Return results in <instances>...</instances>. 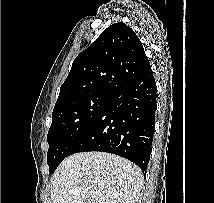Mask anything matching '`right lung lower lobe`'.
I'll list each match as a JSON object with an SVG mask.
<instances>
[{"mask_svg":"<svg viewBox=\"0 0 214 203\" xmlns=\"http://www.w3.org/2000/svg\"><path fill=\"white\" fill-rule=\"evenodd\" d=\"M156 93L152 70L110 93L69 155L87 151L113 153L134 162L146 175L155 131Z\"/></svg>","mask_w":214,"mask_h":203,"instance_id":"98d812e1","label":"right lung lower lobe"}]
</instances>
